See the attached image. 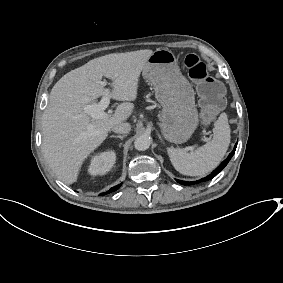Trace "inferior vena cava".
<instances>
[{"label":"inferior vena cava","mask_w":283,"mask_h":283,"mask_svg":"<svg viewBox=\"0 0 283 283\" xmlns=\"http://www.w3.org/2000/svg\"><path fill=\"white\" fill-rule=\"evenodd\" d=\"M131 130V126L129 123H121L112 128V131L115 133L126 134Z\"/></svg>","instance_id":"602c4592"}]
</instances>
